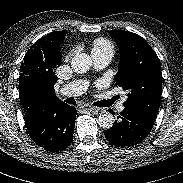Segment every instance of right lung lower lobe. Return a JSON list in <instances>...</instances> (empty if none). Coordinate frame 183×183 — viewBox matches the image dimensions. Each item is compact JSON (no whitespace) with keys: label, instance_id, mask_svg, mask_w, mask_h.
I'll return each instance as SVG.
<instances>
[{"label":"right lung lower lobe","instance_id":"right-lung-lower-lobe-1","mask_svg":"<svg viewBox=\"0 0 183 183\" xmlns=\"http://www.w3.org/2000/svg\"><path fill=\"white\" fill-rule=\"evenodd\" d=\"M24 112L28 133L38 146L49 152H60L71 144L77 114L74 107L62 101H47L32 105Z\"/></svg>","mask_w":183,"mask_h":183}]
</instances>
